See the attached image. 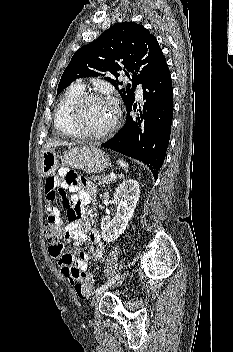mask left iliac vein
I'll list each match as a JSON object with an SVG mask.
<instances>
[{
	"label": "left iliac vein",
	"mask_w": 233,
	"mask_h": 352,
	"mask_svg": "<svg viewBox=\"0 0 233 352\" xmlns=\"http://www.w3.org/2000/svg\"><path fill=\"white\" fill-rule=\"evenodd\" d=\"M126 277V274H124L123 276H121L118 280V284H120ZM104 291L103 292H100V293H97L93 299H92V302H91V306H95L98 304L99 300L101 299L102 295H103Z\"/></svg>",
	"instance_id": "4c4485c4"
}]
</instances>
